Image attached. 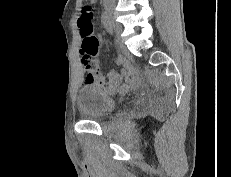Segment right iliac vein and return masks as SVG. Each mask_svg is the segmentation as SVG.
Instances as JSON below:
<instances>
[{"mask_svg":"<svg viewBox=\"0 0 231 177\" xmlns=\"http://www.w3.org/2000/svg\"><path fill=\"white\" fill-rule=\"evenodd\" d=\"M112 26L114 27V29L116 30V32L119 34L121 32V25L118 24L116 21H115V17H114V14H113V10L112 9H107V12H106Z\"/></svg>","mask_w":231,"mask_h":177,"instance_id":"63e3f726","label":"right iliac vein"}]
</instances>
